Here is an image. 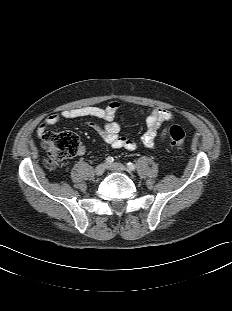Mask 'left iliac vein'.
I'll return each mask as SVG.
<instances>
[{
  "instance_id": "1",
  "label": "left iliac vein",
  "mask_w": 232,
  "mask_h": 311,
  "mask_svg": "<svg viewBox=\"0 0 232 311\" xmlns=\"http://www.w3.org/2000/svg\"><path fill=\"white\" fill-rule=\"evenodd\" d=\"M107 169L112 171L123 172L126 170V167L121 163H113L107 166Z\"/></svg>"
}]
</instances>
